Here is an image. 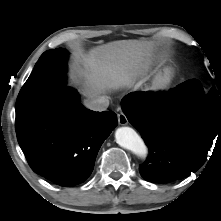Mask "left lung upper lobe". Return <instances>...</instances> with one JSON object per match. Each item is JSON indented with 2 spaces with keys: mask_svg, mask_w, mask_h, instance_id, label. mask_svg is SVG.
Listing matches in <instances>:
<instances>
[{
  "mask_svg": "<svg viewBox=\"0 0 221 221\" xmlns=\"http://www.w3.org/2000/svg\"><path fill=\"white\" fill-rule=\"evenodd\" d=\"M177 97L181 102L188 104H207L210 101H216L217 104H221V91H217L215 88H212L205 94L200 86L195 92L189 93V95H179Z\"/></svg>",
  "mask_w": 221,
  "mask_h": 221,
  "instance_id": "1",
  "label": "left lung upper lobe"
}]
</instances>
